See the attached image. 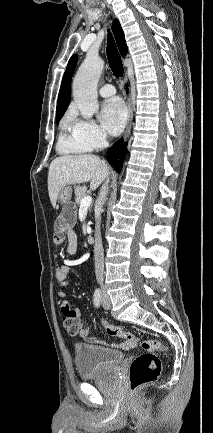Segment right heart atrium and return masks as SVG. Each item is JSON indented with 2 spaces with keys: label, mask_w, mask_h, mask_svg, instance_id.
I'll list each match as a JSON object with an SVG mask.
<instances>
[{
  "label": "right heart atrium",
  "mask_w": 213,
  "mask_h": 433,
  "mask_svg": "<svg viewBox=\"0 0 213 433\" xmlns=\"http://www.w3.org/2000/svg\"><path fill=\"white\" fill-rule=\"evenodd\" d=\"M70 122L74 134L92 150L101 149L106 145L107 135L94 121L72 116Z\"/></svg>",
  "instance_id": "obj_1"
}]
</instances>
